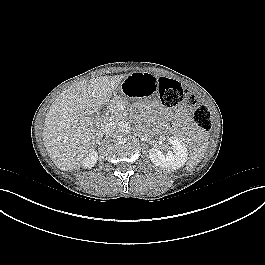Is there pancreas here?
I'll use <instances>...</instances> for the list:
<instances>
[{
	"label": "pancreas",
	"mask_w": 265,
	"mask_h": 265,
	"mask_svg": "<svg viewBox=\"0 0 265 265\" xmlns=\"http://www.w3.org/2000/svg\"><path fill=\"white\" fill-rule=\"evenodd\" d=\"M127 101L124 97H121L119 95L115 96L111 100L110 104V112H111V118L114 120H119L123 118L122 110L120 108V104H126Z\"/></svg>",
	"instance_id": "pancreas-1"
}]
</instances>
